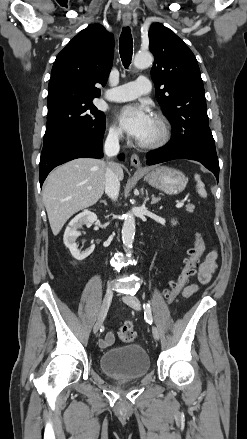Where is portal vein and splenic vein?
<instances>
[{"instance_id": "1", "label": "portal vein and splenic vein", "mask_w": 247, "mask_h": 439, "mask_svg": "<svg viewBox=\"0 0 247 439\" xmlns=\"http://www.w3.org/2000/svg\"><path fill=\"white\" fill-rule=\"evenodd\" d=\"M183 205H184V201H178L177 204H176V207H177V208H180V207H182Z\"/></svg>"}]
</instances>
